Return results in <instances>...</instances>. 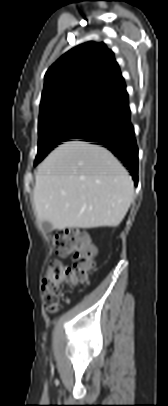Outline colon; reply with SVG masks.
<instances>
[{
  "mask_svg": "<svg viewBox=\"0 0 168 406\" xmlns=\"http://www.w3.org/2000/svg\"><path fill=\"white\" fill-rule=\"evenodd\" d=\"M55 252L60 257L73 256V265L54 260L48 264L42 280L44 301L49 312H56L63 289L67 285L88 283L95 270L96 249L88 237L76 229L61 230L54 239Z\"/></svg>",
  "mask_w": 168,
  "mask_h": 406,
  "instance_id": "5ec220e1",
  "label": "colon"
}]
</instances>
